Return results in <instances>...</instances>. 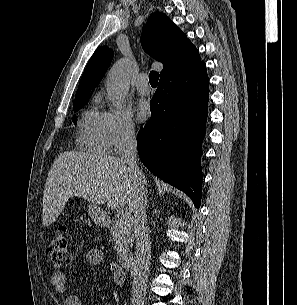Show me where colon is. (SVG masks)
<instances>
[{
    "label": "colon",
    "mask_w": 297,
    "mask_h": 305,
    "mask_svg": "<svg viewBox=\"0 0 297 305\" xmlns=\"http://www.w3.org/2000/svg\"><path fill=\"white\" fill-rule=\"evenodd\" d=\"M52 262L58 266H67L71 262L68 248V235L65 226H60L47 247Z\"/></svg>",
    "instance_id": "5ec220e1"
}]
</instances>
